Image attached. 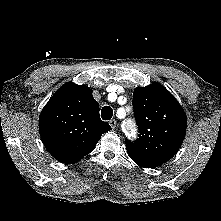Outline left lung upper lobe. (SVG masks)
I'll use <instances>...</instances> for the list:
<instances>
[{"label":"left lung upper lobe","instance_id":"1","mask_svg":"<svg viewBox=\"0 0 221 221\" xmlns=\"http://www.w3.org/2000/svg\"><path fill=\"white\" fill-rule=\"evenodd\" d=\"M133 108L139 138L134 142L126 141L127 152L137 164L160 166L182 145L186 115L174 96L156 82L135 88Z\"/></svg>","mask_w":221,"mask_h":221}]
</instances>
